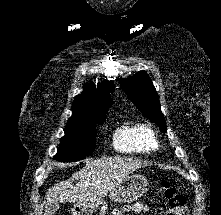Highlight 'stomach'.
<instances>
[{"mask_svg":"<svg viewBox=\"0 0 221 215\" xmlns=\"http://www.w3.org/2000/svg\"><path fill=\"white\" fill-rule=\"evenodd\" d=\"M148 181L145 176L133 174L124 179L109 193L110 200L118 203H131L143 196L147 191ZM108 204L101 199L93 203L77 202L73 215H106Z\"/></svg>","mask_w":221,"mask_h":215,"instance_id":"stomach-1","label":"stomach"}]
</instances>
